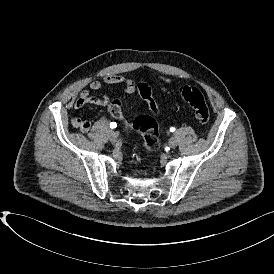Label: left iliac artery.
Listing matches in <instances>:
<instances>
[{
    "instance_id": "left-iliac-artery-1",
    "label": "left iliac artery",
    "mask_w": 274,
    "mask_h": 274,
    "mask_svg": "<svg viewBox=\"0 0 274 274\" xmlns=\"http://www.w3.org/2000/svg\"><path fill=\"white\" fill-rule=\"evenodd\" d=\"M175 131V128L174 127H171L170 128V132H174Z\"/></svg>"
}]
</instances>
